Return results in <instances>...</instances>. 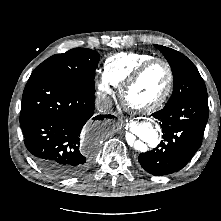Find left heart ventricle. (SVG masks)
Masks as SVG:
<instances>
[{
    "instance_id": "obj_1",
    "label": "left heart ventricle",
    "mask_w": 221,
    "mask_h": 221,
    "mask_svg": "<svg viewBox=\"0 0 221 221\" xmlns=\"http://www.w3.org/2000/svg\"><path fill=\"white\" fill-rule=\"evenodd\" d=\"M168 73L162 64L151 66L130 88L128 100L136 106H145L158 99L166 89Z\"/></svg>"
}]
</instances>
